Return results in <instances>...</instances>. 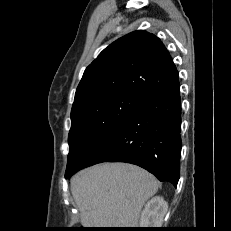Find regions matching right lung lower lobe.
<instances>
[{
    "label": "right lung lower lobe",
    "mask_w": 231,
    "mask_h": 231,
    "mask_svg": "<svg viewBox=\"0 0 231 231\" xmlns=\"http://www.w3.org/2000/svg\"><path fill=\"white\" fill-rule=\"evenodd\" d=\"M180 128L179 86L148 95L133 115L94 147L76 167L67 169L65 177L101 162H127L176 187L182 144Z\"/></svg>",
    "instance_id": "98d812e1"
}]
</instances>
